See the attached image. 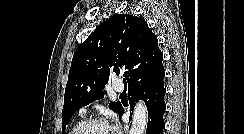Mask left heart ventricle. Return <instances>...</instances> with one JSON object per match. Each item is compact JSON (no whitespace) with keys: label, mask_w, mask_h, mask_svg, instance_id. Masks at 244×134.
<instances>
[{"label":"left heart ventricle","mask_w":244,"mask_h":134,"mask_svg":"<svg viewBox=\"0 0 244 134\" xmlns=\"http://www.w3.org/2000/svg\"><path fill=\"white\" fill-rule=\"evenodd\" d=\"M85 134H114L109 126L95 125L87 130Z\"/></svg>","instance_id":"left-heart-ventricle-1"}]
</instances>
